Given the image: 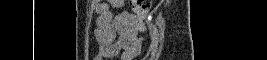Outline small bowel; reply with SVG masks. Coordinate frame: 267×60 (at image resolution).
<instances>
[{"label":"small bowel","mask_w":267,"mask_h":60,"mask_svg":"<svg viewBox=\"0 0 267 60\" xmlns=\"http://www.w3.org/2000/svg\"><path fill=\"white\" fill-rule=\"evenodd\" d=\"M124 1L110 0L105 3L97 1L95 37L98 43L96 60H104L118 57L121 60H130L138 54L141 49L142 39L140 30L143 26L137 22L135 17L123 12L113 16L108 9L122 8Z\"/></svg>","instance_id":"obj_1"}]
</instances>
